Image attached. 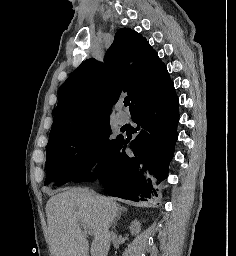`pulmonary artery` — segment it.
Wrapping results in <instances>:
<instances>
[{
  "label": "pulmonary artery",
  "instance_id": "pulmonary-artery-1",
  "mask_svg": "<svg viewBox=\"0 0 236 256\" xmlns=\"http://www.w3.org/2000/svg\"><path fill=\"white\" fill-rule=\"evenodd\" d=\"M117 123H118L119 125H124V124L126 123V121H123V120H117Z\"/></svg>",
  "mask_w": 236,
  "mask_h": 256
}]
</instances>
